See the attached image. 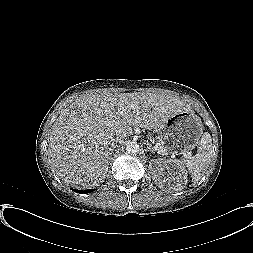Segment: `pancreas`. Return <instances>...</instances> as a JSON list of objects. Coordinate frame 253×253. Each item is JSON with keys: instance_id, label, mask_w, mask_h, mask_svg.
Masks as SVG:
<instances>
[{"instance_id": "pancreas-1", "label": "pancreas", "mask_w": 253, "mask_h": 253, "mask_svg": "<svg viewBox=\"0 0 253 253\" xmlns=\"http://www.w3.org/2000/svg\"><path fill=\"white\" fill-rule=\"evenodd\" d=\"M160 149L166 151L162 145H160Z\"/></svg>"}]
</instances>
